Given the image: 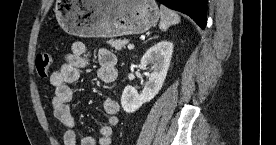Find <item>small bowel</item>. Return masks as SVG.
<instances>
[{"label": "small bowel", "instance_id": "c3829d8e", "mask_svg": "<svg viewBox=\"0 0 276 145\" xmlns=\"http://www.w3.org/2000/svg\"><path fill=\"white\" fill-rule=\"evenodd\" d=\"M98 79L105 84L113 83L117 78L116 55L108 49L98 51ZM88 50L85 43L76 41L65 57V63L50 75V83L55 89L52 99L54 116L65 126L63 135L65 145H111L113 128L118 125V103L114 98L106 97L102 108L107 115V123L99 130L97 139L82 134L76 129V122L70 102L73 98L71 83L78 80L80 70L88 64Z\"/></svg>", "mask_w": 276, "mask_h": 145}]
</instances>
